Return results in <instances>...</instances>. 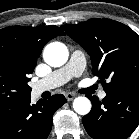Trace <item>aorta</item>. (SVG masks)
<instances>
[{
    "label": "aorta",
    "mask_w": 139,
    "mask_h": 139,
    "mask_svg": "<svg viewBox=\"0 0 139 139\" xmlns=\"http://www.w3.org/2000/svg\"><path fill=\"white\" fill-rule=\"evenodd\" d=\"M43 58L50 66L60 67L68 59V49L63 43L52 42L45 47ZM73 109L80 115H86L91 110V102L86 97H77L73 101Z\"/></svg>",
    "instance_id": "aorta-1"
}]
</instances>
